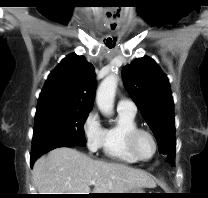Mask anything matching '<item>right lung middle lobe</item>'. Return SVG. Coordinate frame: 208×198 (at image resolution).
I'll return each mask as SVG.
<instances>
[{
  "instance_id": "right-lung-middle-lobe-1",
  "label": "right lung middle lobe",
  "mask_w": 208,
  "mask_h": 198,
  "mask_svg": "<svg viewBox=\"0 0 208 198\" xmlns=\"http://www.w3.org/2000/svg\"><path fill=\"white\" fill-rule=\"evenodd\" d=\"M91 110L68 106H54L37 109L35 115L32 151L64 140L79 146L86 144L84 123Z\"/></svg>"
}]
</instances>
